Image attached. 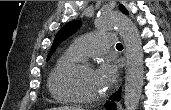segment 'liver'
<instances>
[{
    "label": "liver",
    "instance_id": "obj_1",
    "mask_svg": "<svg viewBox=\"0 0 171 110\" xmlns=\"http://www.w3.org/2000/svg\"><path fill=\"white\" fill-rule=\"evenodd\" d=\"M50 110H83V109L81 107L64 106V107L52 108Z\"/></svg>",
    "mask_w": 171,
    "mask_h": 110
}]
</instances>
